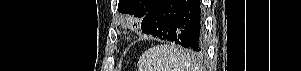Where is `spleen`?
<instances>
[{
  "instance_id": "3e777b00",
  "label": "spleen",
  "mask_w": 301,
  "mask_h": 71,
  "mask_svg": "<svg viewBox=\"0 0 301 71\" xmlns=\"http://www.w3.org/2000/svg\"><path fill=\"white\" fill-rule=\"evenodd\" d=\"M141 71H198L194 56L177 46L161 44L145 51L139 61Z\"/></svg>"
}]
</instances>
